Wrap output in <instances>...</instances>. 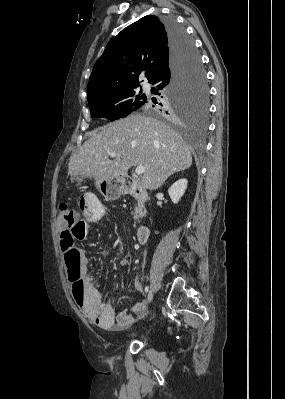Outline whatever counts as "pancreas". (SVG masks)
<instances>
[{"label": "pancreas", "instance_id": "cf45deb5", "mask_svg": "<svg viewBox=\"0 0 285 399\" xmlns=\"http://www.w3.org/2000/svg\"><path fill=\"white\" fill-rule=\"evenodd\" d=\"M142 208V203L138 201L137 206L135 207V212H134V219L137 220L139 218L140 212Z\"/></svg>", "mask_w": 285, "mask_h": 399}]
</instances>
